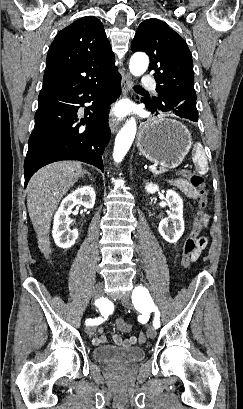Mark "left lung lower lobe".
I'll use <instances>...</instances> for the list:
<instances>
[{
    "instance_id": "0a47b994",
    "label": "left lung lower lobe",
    "mask_w": 243,
    "mask_h": 409,
    "mask_svg": "<svg viewBox=\"0 0 243 409\" xmlns=\"http://www.w3.org/2000/svg\"><path fill=\"white\" fill-rule=\"evenodd\" d=\"M141 100L145 103L146 108L153 113L156 112V115L158 112H169L194 122L198 121V111L191 102L184 101L181 103L179 100L167 96H162L157 101L151 99Z\"/></svg>"
}]
</instances>
